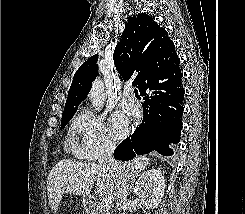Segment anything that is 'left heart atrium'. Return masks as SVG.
<instances>
[{
    "mask_svg": "<svg viewBox=\"0 0 245 214\" xmlns=\"http://www.w3.org/2000/svg\"><path fill=\"white\" fill-rule=\"evenodd\" d=\"M110 125L114 135L117 138L124 137L128 132V128L125 120L118 115L112 116L110 120Z\"/></svg>",
    "mask_w": 245,
    "mask_h": 214,
    "instance_id": "1",
    "label": "left heart atrium"
}]
</instances>
